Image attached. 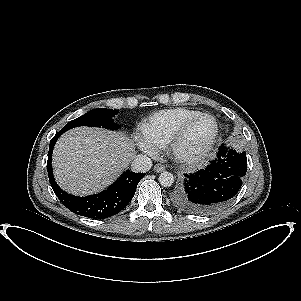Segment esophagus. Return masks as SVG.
I'll use <instances>...</instances> for the list:
<instances>
[{
    "label": "esophagus",
    "mask_w": 301,
    "mask_h": 301,
    "mask_svg": "<svg viewBox=\"0 0 301 301\" xmlns=\"http://www.w3.org/2000/svg\"><path fill=\"white\" fill-rule=\"evenodd\" d=\"M165 169H166L165 166L162 165V164H160V163H158V164H156V165L154 166V171H155V172H162V171H164Z\"/></svg>",
    "instance_id": "obj_1"
}]
</instances>
